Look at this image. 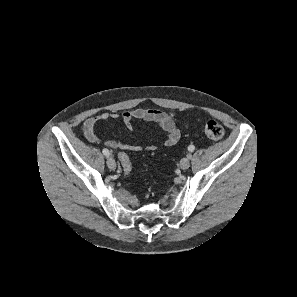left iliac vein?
I'll return each mask as SVG.
<instances>
[{"instance_id": "obj_1", "label": "left iliac vein", "mask_w": 297, "mask_h": 297, "mask_svg": "<svg viewBox=\"0 0 297 297\" xmlns=\"http://www.w3.org/2000/svg\"><path fill=\"white\" fill-rule=\"evenodd\" d=\"M190 166V160L188 157H184L180 161V167L183 170H186Z\"/></svg>"}]
</instances>
